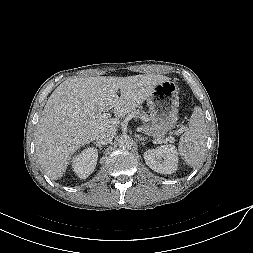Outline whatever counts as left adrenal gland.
Segmentation results:
<instances>
[{"instance_id": "obj_1", "label": "left adrenal gland", "mask_w": 253, "mask_h": 253, "mask_svg": "<svg viewBox=\"0 0 253 253\" xmlns=\"http://www.w3.org/2000/svg\"><path fill=\"white\" fill-rule=\"evenodd\" d=\"M136 138H137V141H139V142H142L147 139L146 137H141L139 135H136Z\"/></svg>"}]
</instances>
